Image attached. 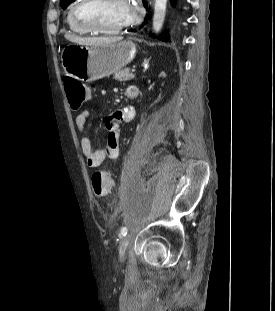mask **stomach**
I'll return each mask as SVG.
<instances>
[{
	"label": "stomach",
	"instance_id": "1",
	"mask_svg": "<svg viewBox=\"0 0 275 311\" xmlns=\"http://www.w3.org/2000/svg\"><path fill=\"white\" fill-rule=\"evenodd\" d=\"M136 55L131 40L109 45L68 44L61 53L65 73L81 81H95L118 72Z\"/></svg>",
	"mask_w": 275,
	"mask_h": 311
}]
</instances>
